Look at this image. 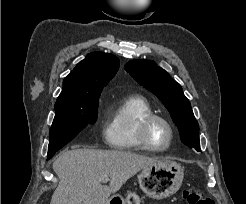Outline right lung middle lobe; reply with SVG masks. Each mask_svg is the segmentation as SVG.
<instances>
[{
	"label": "right lung middle lobe",
	"instance_id": "dd1d6c3e",
	"mask_svg": "<svg viewBox=\"0 0 246 204\" xmlns=\"http://www.w3.org/2000/svg\"><path fill=\"white\" fill-rule=\"evenodd\" d=\"M99 97L100 95H95L77 101L55 104V117L50 129L48 159L52 158L87 125L96 122Z\"/></svg>",
	"mask_w": 246,
	"mask_h": 204
}]
</instances>
